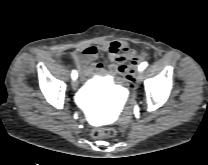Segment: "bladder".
<instances>
[{"mask_svg": "<svg viewBox=\"0 0 208 165\" xmlns=\"http://www.w3.org/2000/svg\"><path fill=\"white\" fill-rule=\"evenodd\" d=\"M97 85L101 88H103L102 93L105 95H110V90L108 88L109 80L108 79H100L97 81Z\"/></svg>", "mask_w": 208, "mask_h": 165, "instance_id": "1", "label": "bladder"}]
</instances>
